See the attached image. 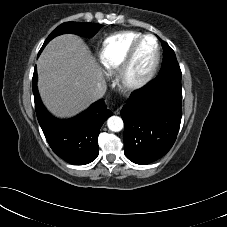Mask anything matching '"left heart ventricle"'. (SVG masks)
<instances>
[{"label":"left heart ventricle","mask_w":227,"mask_h":227,"mask_svg":"<svg viewBox=\"0 0 227 227\" xmlns=\"http://www.w3.org/2000/svg\"><path fill=\"white\" fill-rule=\"evenodd\" d=\"M155 56V43L153 39H146L140 46L133 65V74L142 75L151 66Z\"/></svg>","instance_id":"left-heart-ventricle-1"}]
</instances>
